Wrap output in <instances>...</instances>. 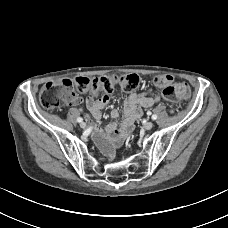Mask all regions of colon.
I'll return each mask as SVG.
<instances>
[{
    "instance_id": "colon-1",
    "label": "colon",
    "mask_w": 228,
    "mask_h": 228,
    "mask_svg": "<svg viewBox=\"0 0 228 228\" xmlns=\"http://www.w3.org/2000/svg\"><path fill=\"white\" fill-rule=\"evenodd\" d=\"M154 84L162 89L163 97L171 102H179L189 96L190 89L186 83H175L170 75H159ZM117 86L126 92H132L139 86L136 74L124 76L76 77L46 83L39 93V101L45 109H56L78 101L76 92L98 95L101 92L111 93Z\"/></svg>"
}]
</instances>
